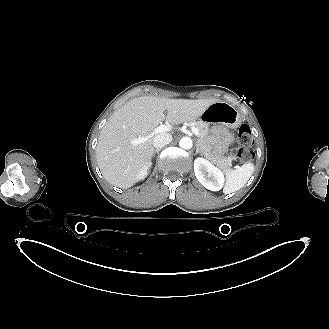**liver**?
<instances>
[{"label": "liver", "instance_id": "6515ba94", "mask_svg": "<svg viewBox=\"0 0 329 329\" xmlns=\"http://www.w3.org/2000/svg\"><path fill=\"white\" fill-rule=\"evenodd\" d=\"M218 99H168L142 96L116 110L101 130L96 158L103 177L119 188H129L139 180L140 171L152 158L153 140L132 145L131 140L146 136L159 123L192 122ZM167 110V115L164 111Z\"/></svg>", "mask_w": 329, "mask_h": 329}]
</instances>
